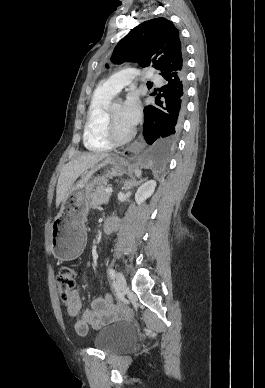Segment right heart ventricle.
<instances>
[{
	"instance_id": "right-heart-ventricle-1",
	"label": "right heart ventricle",
	"mask_w": 265,
	"mask_h": 388,
	"mask_svg": "<svg viewBox=\"0 0 265 388\" xmlns=\"http://www.w3.org/2000/svg\"><path fill=\"white\" fill-rule=\"evenodd\" d=\"M87 112L84 129L85 145L93 151L109 150L113 145L102 134V119L107 107L116 97L115 91H95Z\"/></svg>"
}]
</instances>
